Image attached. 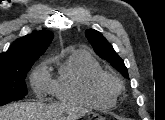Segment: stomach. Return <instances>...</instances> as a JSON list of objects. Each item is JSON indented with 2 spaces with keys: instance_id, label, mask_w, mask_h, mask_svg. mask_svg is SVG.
Segmentation results:
<instances>
[{
  "instance_id": "1",
  "label": "stomach",
  "mask_w": 165,
  "mask_h": 120,
  "mask_svg": "<svg viewBox=\"0 0 165 120\" xmlns=\"http://www.w3.org/2000/svg\"><path fill=\"white\" fill-rule=\"evenodd\" d=\"M99 116L97 113H94V112H85V113H82L78 119H89L91 120L92 118H95ZM100 119H103L101 116H99Z\"/></svg>"
}]
</instances>
